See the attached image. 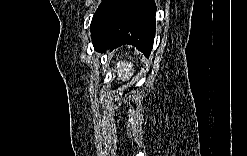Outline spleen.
I'll return each instance as SVG.
<instances>
[{
    "mask_svg": "<svg viewBox=\"0 0 247 156\" xmlns=\"http://www.w3.org/2000/svg\"><path fill=\"white\" fill-rule=\"evenodd\" d=\"M133 63L127 61L118 62L116 65L118 80H129L135 72Z\"/></svg>",
    "mask_w": 247,
    "mask_h": 156,
    "instance_id": "3e777b00",
    "label": "spleen"
}]
</instances>
